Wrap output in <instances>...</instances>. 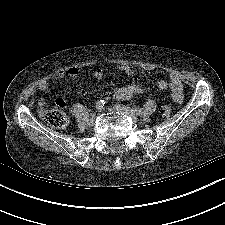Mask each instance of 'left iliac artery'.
Returning <instances> with one entry per match:
<instances>
[{
    "label": "left iliac artery",
    "instance_id": "obj_1",
    "mask_svg": "<svg viewBox=\"0 0 225 225\" xmlns=\"http://www.w3.org/2000/svg\"><path fill=\"white\" fill-rule=\"evenodd\" d=\"M116 106H119V104H116ZM124 106V105H123ZM126 107V106H125ZM131 113L133 114H136V115H140L142 113V110L139 109V108H130V107H127Z\"/></svg>",
    "mask_w": 225,
    "mask_h": 225
}]
</instances>
